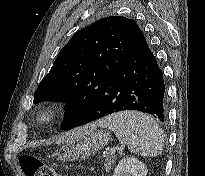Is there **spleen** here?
I'll use <instances>...</instances> for the list:
<instances>
[{
    "label": "spleen",
    "instance_id": "3e777b00",
    "mask_svg": "<svg viewBox=\"0 0 205 176\" xmlns=\"http://www.w3.org/2000/svg\"><path fill=\"white\" fill-rule=\"evenodd\" d=\"M97 124L112 130L131 153L155 157L164 146L163 132L154 119L136 111H121L100 119Z\"/></svg>",
    "mask_w": 205,
    "mask_h": 176
}]
</instances>
